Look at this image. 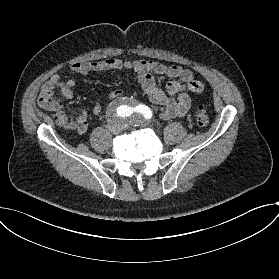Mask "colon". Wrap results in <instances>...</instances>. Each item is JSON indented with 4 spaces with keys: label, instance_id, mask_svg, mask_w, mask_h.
<instances>
[{
    "label": "colon",
    "instance_id": "colon-1",
    "mask_svg": "<svg viewBox=\"0 0 279 279\" xmlns=\"http://www.w3.org/2000/svg\"><path fill=\"white\" fill-rule=\"evenodd\" d=\"M195 120L198 127H206L209 123L208 112L203 107H199L195 115ZM58 121L61 125H64L65 123L63 118H59Z\"/></svg>",
    "mask_w": 279,
    "mask_h": 279
}]
</instances>
